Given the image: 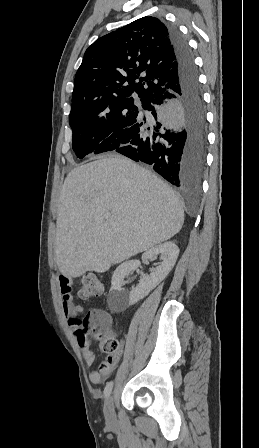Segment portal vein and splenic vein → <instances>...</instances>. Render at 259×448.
Returning a JSON list of instances; mask_svg holds the SVG:
<instances>
[{"mask_svg": "<svg viewBox=\"0 0 259 448\" xmlns=\"http://www.w3.org/2000/svg\"><path fill=\"white\" fill-rule=\"evenodd\" d=\"M110 216H111L110 212H109V214H104L105 220H108V218H110Z\"/></svg>", "mask_w": 259, "mask_h": 448, "instance_id": "obj_1", "label": "portal vein and splenic vein"}]
</instances>
